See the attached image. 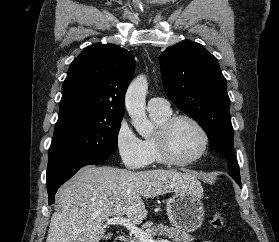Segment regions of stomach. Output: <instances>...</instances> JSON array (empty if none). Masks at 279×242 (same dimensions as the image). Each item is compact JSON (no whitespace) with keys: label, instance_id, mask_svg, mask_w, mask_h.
Here are the masks:
<instances>
[{"label":"stomach","instance_id":"1","mask_svg":"<svg viewBox=\"0 0 279 242\" xmlns=\"http://www.w3.org/2000/svg\"><path fill=\"white\" fill-rule=\"evenodd\" d=\"M201 193L194 191L175 192L167 200L166 211L170 222L182 231L193 232L203 224L205 209Z\"/></svg>","mask_w":279,"mask_h":242}]
</instances>
